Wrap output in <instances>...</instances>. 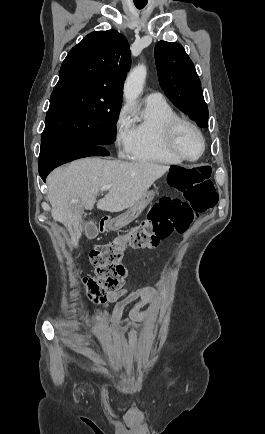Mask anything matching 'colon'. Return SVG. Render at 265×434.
I'll return each mask as SVG.
<instances>
[{"instance_id": "1", "label": "colon", "mask_w": 265, "mask_h": 434, "mask_svg": "<svg viewBox=\"0 0 265 434\" xmlns=\"http://www.w3.org/2000/svg\"><path fill=\"white\" fill-rule=\"evenodd\" d=\"M167 170L170 188L184 193V200L161 197L128 232L90 250L88 259L97 268V274L82 280L90 302H104L121 288L127 272L122 259L128 249L150 248L173 234L184 233L196 215L216 207L219 195L211 182L213 168L209 164H173ZM89 320H96V317H89ZM86 331L91 335L95 330L90 326Z\"/></svg>"}]
</instances>
